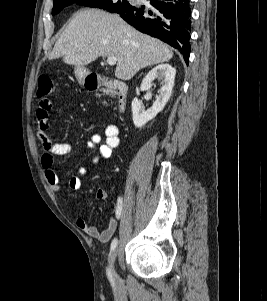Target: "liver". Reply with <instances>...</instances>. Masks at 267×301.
<instances>
[{"mask_svg": "<svg viewBox=\"0 0 267 301\" xmlns=\"http://www.w3.org/2000/svg\"><path fill=\"white\" fill-rule=\"evenodd\" d=\"M99 56L117 59L115 76L130 80L145 67L167 62L173 51L163 42L128 25L119 15L97 9H83L54 45L51 59L84 69Z\"/></svg>", "mask_w": 267, "mask_h": 301, "instance_id": "obj_1", "label": "liver"}]
</instances>
